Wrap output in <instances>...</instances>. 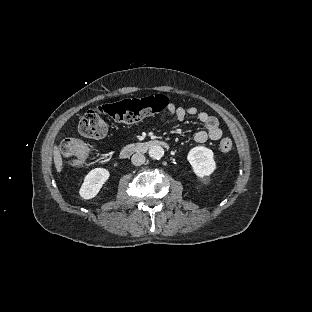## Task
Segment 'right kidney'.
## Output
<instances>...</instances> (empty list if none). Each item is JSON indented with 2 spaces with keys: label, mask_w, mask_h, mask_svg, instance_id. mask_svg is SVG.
<instances>
[{
  "label": "right kidney",
  "mask_w": 312,
  "mask_h": 312,
  "mask_svg": "<svg viewBox=\"0 0 312 312\" xmlns=\"http://www.w3.org/2000/svg\"><path fill=\"white\" fill-rule=\"evenodd\" d=\"M109 176V171L104 168L91 170L84 178V182L79 191L80 196L84 199L95 197Z\"/></svg>",
  "instance_id": "ca27d5eb"
}]
</instances>
